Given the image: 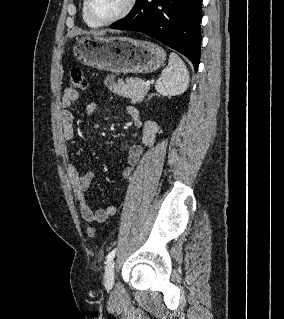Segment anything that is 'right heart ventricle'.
Returning a JSON list of instances; mask_svg holds the SVG:
<instances>
[{
    "instance_id": "obj_1",
    "label": "right heart ventricle",
    "mask_w": 284,
    "mask_h": 319,
    "mask_svg": "<svg viewBox=\"0 0 284 319\" xmlns=\"http://www.w3.org/2000/svg\"><path fill=\"white\" fill-rule=\"evenodd\" d=\"M81 15H82V19H83L84 23H85L87 26H89V27H91V28H97V27H99L98 25L94 24L93 22H91V21L87 18L86 14H85V11H84V1H83V4H82Z\"/></svg>"
}]
</instances>
